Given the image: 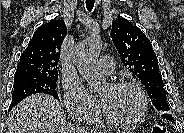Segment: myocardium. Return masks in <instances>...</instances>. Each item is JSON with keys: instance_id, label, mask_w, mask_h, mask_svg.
<instances>
[{"instance_id": "obj_1", "label": "myocardium", "mask_w": 184, "mask_h": 133, "mask_svg": "<svg viewBox=\"0 0 184 133\" xmlns=\"http://www.w3.org/2000/svg\"><path fill=\"white\" fill-rule=\"evenodd\" d=\"M109 85L113 88H127V87L133 88L138 93V95L140 97L141 107H140L139 112L131 118L116 119V118L109 116L102 109V107L100 105L101 117L106 122H108L114 126H119V127L131 126V125H135L138 122H140L145 117V115L147 114V111H148V98H147V94H146L145 90L142 88V86L134 80H118V81L111 82Z\"/></svg>"}]
</instances>
